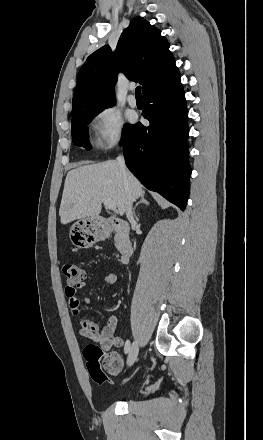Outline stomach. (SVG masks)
Returning <instances> with one entry per match:
<instances>
[{"instance_id":"stomach-1","label":"stomach","mask_w":263,"mask_h":440,"mask_svg":"<svg viewBox=\"0 0 263 440\" xmlns=\"http://www.w3.org/2000/svg\"><path fill=\"white\" fill-rule=\"evenodd\" d=\"M70 238L79 247H88L102 238L95 218L79 219L70 230Z\"/></svg>"}]
</instances>
